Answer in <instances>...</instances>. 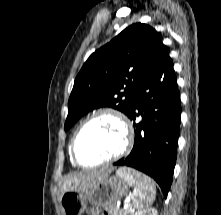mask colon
I'll list each match as a JSON object with an SVG mask.
<instances>
[{
  "label": "colon",
  "mask_w": 221,
  "mask_h": 215,
  "mask_svg": "<svg viewBox=\"0 0 221 215\" xmlns=\"http://www.w3.org/2000/svg\"><path fill=\"white\" fill-rule=\"evenodd\" d=\"M90 215H108L106 213H100L98 210L93 209L90 213Z\"/></svg>",
  "instance_id": "colon-1"
}]
</instances>
